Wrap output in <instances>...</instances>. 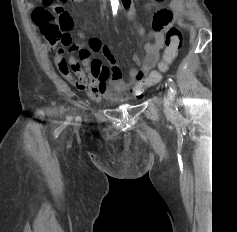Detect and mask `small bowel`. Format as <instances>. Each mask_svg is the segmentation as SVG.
<instances>
[{
  "label": "small bowel",
  "mask_w": 237,
  "mask_h": 232,
  "mask_svg": "<svg viewBox=\"0 0 237 232\" xmlns=\"http://www.w3.org/2000/svg\"><path fill=\"white\" fill-rule=\"evenodd\" d=\"M67 1L79 3L83 0ZM169 1L168 8L159 9L155 13L152 21L153 29L148 33L139 23L135 11L129 10V17L134 23L137 35L143 41L146 54L142 58L133 57L134 67L127 80L122 78L109 47L98 38L91 39L88 49H81L77 45L69 47L71 52L79 51L82 66L74 57L66 60L63 55L64 49H58L54 58L57 68L78 90L85 91L94 101L102 99L124 101L130 98H141L149 86L146 76L159 61L166 35L183 10V0ZM90 52H102L109 62V67L101 60L91 61Z\"/></svg>",
  "instance_id": "small-bowel-1"
}]
</instances>
